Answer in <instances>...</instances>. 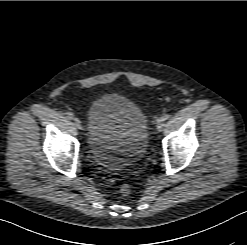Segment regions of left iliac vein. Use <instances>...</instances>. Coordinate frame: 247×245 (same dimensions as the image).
Masks as SVG:
<instances>
[{
    "mask_svg": "<svg viewBox=\"0 0 247 245\" xmlns=\"http://www.w3.org/2000/svg\"><path fill=\"white\" fill-rule=\"evenodd\" d=\"M163 126H164L163 121H160V120L158 119L157 122H156L157 130H158V131H161V130L163 129Z\"/></svg>",
    "mask_w": 247,
    "mask_h": 245,
    "instance_id": "left-iliac-vein-1",
    "label": "left iliac vein"
}]
</instances>
